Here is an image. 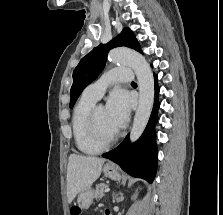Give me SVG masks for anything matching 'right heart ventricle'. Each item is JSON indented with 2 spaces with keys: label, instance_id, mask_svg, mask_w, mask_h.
Returning a JSON list of instances; mask_svg holds the SVG:
<instances>
[{
  "label": "right heart ventricle",
  "instance_id": "e07e8e85",
  "mask_svg": "<svg viewBox=\"0 0 223 215\" xmlns=\"http://www.w3.org/2000/svg\"><path fill=\"white\" fill-rule=\"evenodd\" d=\"M95 100L82 96L76 104L72 117V135L76 148L87 155H96L100 150L93 145L89 135L90 115Z\"/></svg>",
  "mask_w": 223,
  "mask_h": 215
}]
</instances>
